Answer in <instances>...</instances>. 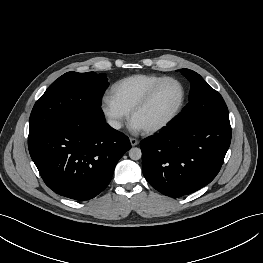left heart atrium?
<instances>
[{
	"label": "left heart atrium",
	"instance_id": "1",
	"mask_svg": "<svg viewBox=\"0 0 263 263\" xmlns=\"http://www.w3.org/2000/svg\"><path fill=\"white\" fill-rule=\"evenodd\" d=\"M131 127H132V129H134V130H140V129H141L140 126H139L136 122H134V121H132Z\"/></svg>",
	"mask_w": 263,
	"mask_h": 263
}]
</instances>
